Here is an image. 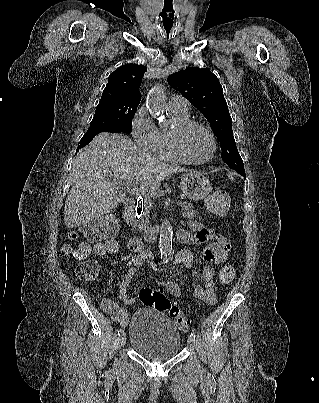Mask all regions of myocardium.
<instances>
[{
	"instance_id": "1",
	"label": "myocardium",
	"mask_w": 319,
	"mask_h": 403,
	"mask_svg": "<svg viewBox=\"0 0 319 403\" xmlns=\"http://www.w3.org/2000/svg\"><path fill=\"white\" fill-rule=\"evenodd\" d=\"M193 128L202 129L208 135V137L211 141L212 152H211V155L207 159L194 160V159L190 158L184 150L183 138H184L185 134ZM171 141H172V146H173V150H174L175 154L178 156V158L181 161L186 162L188 164H193V165L207 164V163L211 162L216 156L217 143H216L215 136L209 127H207L205 124H203L199 121L189 119L185 122L176 124L171 130Z\"/></svg>"
}]
</instances>
